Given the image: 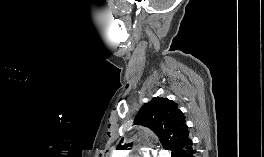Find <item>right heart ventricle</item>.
Wrapping results in <instances>:
<instances>
[{
  "label": "right heart ventricle",
  "instance_id": "e07e8e85",
  "mask_svg": "<svg viewBox=\"0 0 264 157\" xmlns=\"http://www.w3.org/2000/svg\"><path fill=\"white\" fill-rule=\"evenodd\" d=\"M112 157H123V154H121V153H116V154H114Z\"/></svg>",
  "mask_w": 264,
  "mask_h": 157
}]
</instances>
